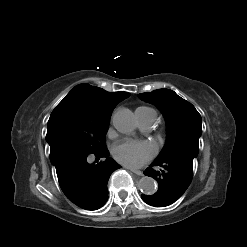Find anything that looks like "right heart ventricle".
<instances>
[{
  "label": "right heart ventricle",
  "instance_id": "obj_1",
  "mask_svg": "<svg viewBox=\"0 0 247 247\" xmlns=\"http://www.w3.org/2000/svg\"><path fill=\"white\" fill-rule=\"evenodd\" d=\"M137 112L141 116H155L156 118V111L150 107L142 106L137 109Z\"/></svg>",
  "mask_w": 247,
  "mask_h": 247
}]
</instances>
